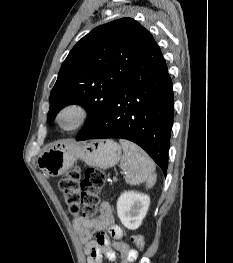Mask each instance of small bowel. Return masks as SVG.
Segmentation results:
<instances>
[{
  "label": "small bowel",
  "instance_id": "c3829d8e",
  "mask_svg": "<svg viewBox=\"0 0 233 263\" xmlns=\"http://www.w3.org/2000/svg\"><path fill=\"white\" fill-rule=\"evenodd\" d=\"M73 227L84 244L88 263H103L104 257L112 263H133L138 257V253L122 240L123 230L114 223L112 209L107 202L101 204L100 214L96 219L76 217ZM111 239L114 240L113 243ZM116 251L120 253L119 258Z\"/></svg>",
  "mask_w": 233,
  "mask_h": 263
}]
</instances>
